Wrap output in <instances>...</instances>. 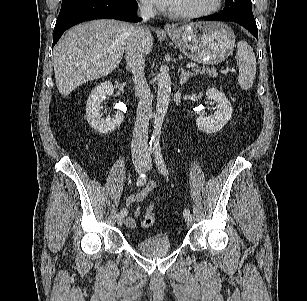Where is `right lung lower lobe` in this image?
Returning <instances> with one entry per match:
<instances>
[{
	"label": "right lung lower lobe",
	"instance_id": "right-lung-lower-lobe-1",
	"mask_svg": "<svg viewBox=\"0 0 307 301\" xmlns=\"http://www.w3.org/2000/svg\"><path fill=\"white\" fill-rule=\"evenodd\" d=\"M136 0H71L62 2L54 27L53 46L65 30L80 22L109 18L138 22Z\"/></svg>",
	"mask_w": 307,
	"mask_h": 301
}]
</instances>
